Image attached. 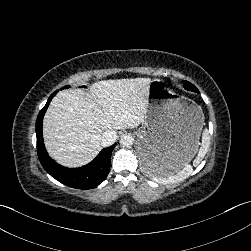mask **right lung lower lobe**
Returning <instances> with one entry per match:
<instances>
[{
	"instance_id": "right-lung-lower-lobe-1",
	"label": "right lung lower lobe",
	"mask_w": 251,
	"mask_h": 251,
	"mask_svg": "<svg viewBox=\"0 0 251 251\" xmlns=\"http://www.w3.org/2000/svg\"><path fill=\"white\" fill-rule=\"evenodd\" d=\"M58 91H55L48 99L44 108L39 112L36 121V135H37V152L39 160L43 168L59 182L77 189H92L101 184L109 174L111 166V154L115 145L103 149L99 155L89 164L70 169L57 164L52 160L46 152L43 134L42 122L44 114Z\"/></svg>"
}]
</instances>
